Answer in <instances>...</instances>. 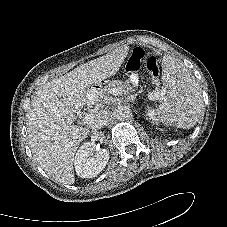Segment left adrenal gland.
Listing matches in <instances>:
<instances>
[{
    "label": "left adrenal gland",
    "mask_w": 227,
    "mask_h": 227,
    "mask_svg": "<svg viewBox=\"0 0 227 227\" xmlns=\"http://www.w3.org/2000/svg\"><path fill=\"white\" fill-rule=\"evenodd\" d=\"M136 96H137V94L132 95V96H129L128 98H126V100H127V101H130V102H134Z\"/></svg>",
    "instance_id": "a2214340"
}]
</instances>
